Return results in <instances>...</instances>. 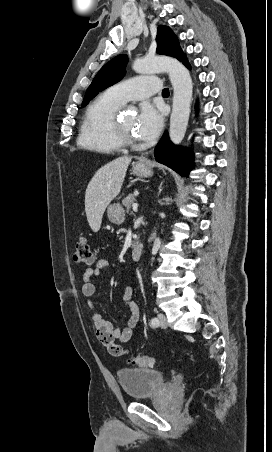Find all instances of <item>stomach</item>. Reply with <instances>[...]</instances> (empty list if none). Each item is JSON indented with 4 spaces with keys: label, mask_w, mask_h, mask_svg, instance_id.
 I'll return each mask as SVG.
<instances>
[{
    "label": "stomach",
    "mask_w": 272,
    "mask_h": 452,
    "mask_svg": "<svg viewBox=\"0 0 272 452\" xmlns=\"http://www.w3.org/2000/svg\"><path fill=\"white\" fill-rule=\"evenodd\" d=\"M132 172L138 177H150L153 170L147 161L138 160L132 163ZM108 219L114 224H122L125 220V211L118 203L110 205L107 209Z\"/></svg>",
    "instance_id": "stomach-1"
}]
</instances>
